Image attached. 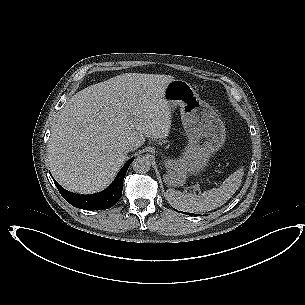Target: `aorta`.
Wrapping results in <instances>:
<instances>
[{
	"instance_id": "762f6f07",
	"label": "aorta",
	"mask_w": 305,
	"mask_h": 305,
	"mask_svg": "<svg viewBox=\"0 0 305 305\" xmlns=\"http://www.w3.org/2000/svg\"><path fill=\"white\" fill-rule=\"evenodd\" d=\"M134 172L143 174L147 173L151 168V162L147 156L138 155L131 164Z\"/></svg>"
}]
</instances>
